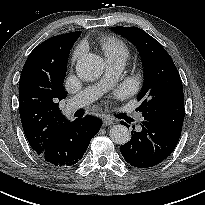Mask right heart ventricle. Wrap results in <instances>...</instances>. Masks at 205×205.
Here are the masks:
<instances>
[{
	"instance_id": "e07e8e85",
	"label": "right heart ventricle",
	"mask_w": 205,
	"mask_h": 205,
	"mask_svg": "<svg viewBox=\"0 0 205 205\" xmlns=\"http://www.w3.org/2000/svg\"><path fill=\"white\" fill-rule=\"evenodd\" d=\"M99 45L106 60L123 59L126 61L129 56L127 45L119 38L114 36H103L99 39Z\"/></svg>"
}]
</instances>
